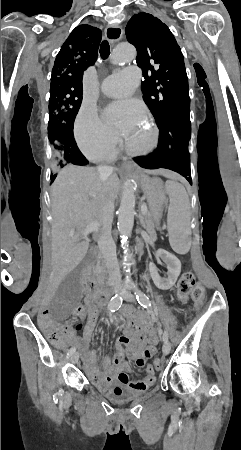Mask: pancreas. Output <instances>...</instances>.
Listing matches in <instances>:
<instances>
[{
    "label": "pancreas",
    "instance_id": "obj_1",
    "mask_svg": "<svg viewBox=\"0 0 241 450\" xmlns=\"http://www.w3.org/2000/svg\"><path fill=\"white\" fill-rule=\"evenodd\" d=\"M143 226L144 228H148V232H153V226H152V220L150 218V212H147V216H145V218H143ZM148 243L153 244L156 241L155 236L150 235L147 238ZM94 276H97L100 284H103L104 286V282H106V278H105V270H103V268H98V270H94Z\"/></svg>",
    "mask_w": 241,
    "mask_h": 450
}]
</instances>
